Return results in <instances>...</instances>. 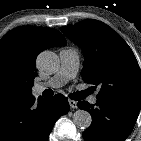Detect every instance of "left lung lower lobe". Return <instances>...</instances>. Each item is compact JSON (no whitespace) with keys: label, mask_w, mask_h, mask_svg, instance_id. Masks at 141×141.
Segmentation results:
<instances>
[{"label":"left lung lower lobe","mask_w":141,"mask_h":141,"mask_svg":"<svg viewBox=\"0 0 141 141\" xmlns=\"http://www.w3.org/2000/svg\"><path fill=\"white\" fill-rule=\"evenodd\" d=\"M78 107L92 116L91 125L83 133L85 141H124L131 133L140 111V105L102 100H97L95 105L80 101Z\"/></svg>","instance_id":"1"}]
</instances>
